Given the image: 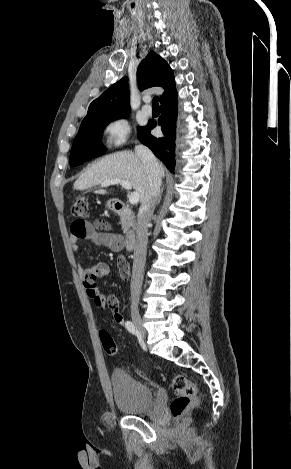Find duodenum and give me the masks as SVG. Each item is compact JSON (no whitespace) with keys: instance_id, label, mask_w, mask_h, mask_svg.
Instances as JSON below:
<instances>
[{"instance_id":"obj_1","label":"duodenum","mask_w":291,"mask_h":469,"mask_svg":"<svg viewBox=\"0 0 291 469\" xmlns=\"http://www.w3.org/2000/svg\"><path fill=\"white\" fill-rule=\"evenodd\" d=\"M112 206L116 213L126 216L129 220L130 225L124 239V247L128 251H132L136 246L137 240L135 213L127 204L121 200H114Z\"/></svg>"}]
</instances>
